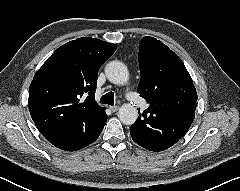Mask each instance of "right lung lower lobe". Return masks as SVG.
Returning <instances> with one entry per match:
<instances>
[{
	"label": "right lung lower lobe",
	"mask_w": 240,
	"mask_h": 191,
	"mask_svg": "<svg viewBox=\"0 0 240 191\" xmlns=\"http://www.w3.org/2000/svg\"><path fill=\"white\" fill-rule=\"evenodd\" d=\"M106 121L107 115L105 113L102 120L94 127H89L80 132L56 135L54 137L47 138V140L59 149L76 151L93 143L99 137Z\"/></svg>",
	"instance_id": "1"
}]
</instances>
